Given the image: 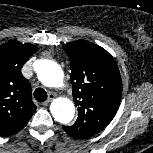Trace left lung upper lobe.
<instances>
[{
	"label": "left lung upper lobe",
	"instance_id": "obj_1",
	"mask_svg": "<svg viewBox=\"0 0 153 153\" xmlns=\"http://www.w3.org/2000/svg\"><path fill=\"white\" fill-rule=\"evenodd\" d=\"M71 64V82L78 118L63 126L74 138L102 131L120 105L122 81L114 58L102 47L85 40L63 44Z\"/></svg>",
	"mask_w": 153,
	"mask_h": 153
}]
</instances>
